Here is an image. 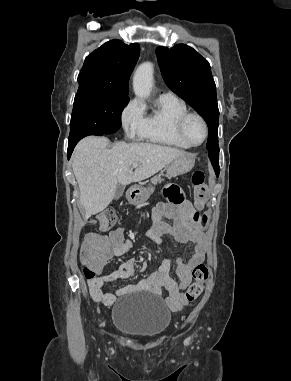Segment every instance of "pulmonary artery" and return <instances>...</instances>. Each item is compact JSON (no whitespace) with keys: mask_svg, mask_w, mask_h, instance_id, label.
I'll return each mask as SVG.
<instances>
[{"mask_svg":"<svg viewBox=\"0 0 291 381\" xmlns=\"http://www.w3.org/2000/svg\"><path fill=\"white\" fill-rule=\"evenodd\" d=\"M161 96H173L171 92H164Z\"/></svg>","mask_w":291,"mask_h":381,"instance_id":"pulmonary-artery-1","label":"pulmonary artery"}]
</instances>
